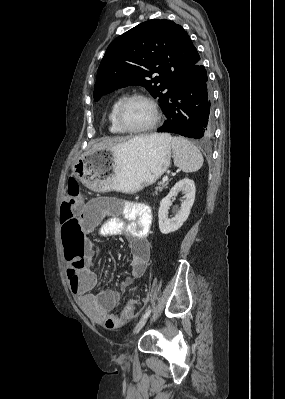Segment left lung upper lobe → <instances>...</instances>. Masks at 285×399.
Instances as JSON below:
<instances>
[{
  "mask_svg": "<svg viewBox=\"0 0 285 399\" xmlns=\"http://www.w3.org/2000/svg\"><path fill=\"white\" fill-rule=\"evenodd\" d=\"M199 58L180 25L167 19L140 23L108 46L98 68L93 97L97 101L115 89L141 85L158 98L164 111L176 78Z\"/></svg>",
  "mask_w": 285,
  "mask_h": 399,
  "instance_id": "obj_1",
  "label": "left lung upper lobe"
}]
</instances>
